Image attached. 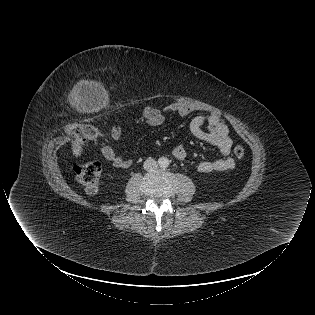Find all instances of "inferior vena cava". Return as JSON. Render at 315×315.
<instances>
[{
    "instance_id": "inferior-vena-cava-1",
    "label": "inferior vena cava",
    "mask_w": 315,
    "mask_h": 315,
    "mask_svg": "<svg viewBox=\"0 0 315 315\" xmlns=\"http://www.w3.org/2000/svg\"><path fill=\"white\" fill-rule=\"evenodd\" d=\"M158 164L157 161L154 159H147L144 162V169L146 171H153L157 168Z\"/></svg>"
}]
</instances>
